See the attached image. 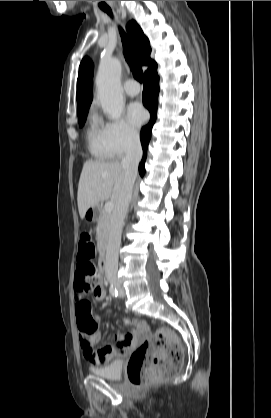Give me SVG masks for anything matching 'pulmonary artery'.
I'll return each mask as SVG.
<instances>
[{
    "label": "pulmonary artery",
    "mask_w": 271,
    "mask_h": 418,
    "mask_svg": "<svg viewBox=\"0 0 271 418\" xmlns=\"http://www.w3.org/2000/svg\"><path fill=\"white\" fill-rule=\"evenodd\" d=\"M124 91L128 96L134 97L139 94L140 87L134 80H128L124 84Z\"/></svg>",
    "instance_id": "1"
}]
</instances>
